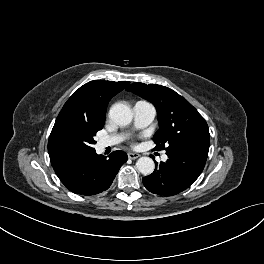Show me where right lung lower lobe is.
Wrapping results in <instances>:
<instances>
[{
	"instance_id": "right-lung-lower-lobe-1",
	"label": "right lung lower lobe",
	"mask_w": 264,
	"mask_h": 264,
	"mask_svg": "<svg viewBox=\"0 0 264 264\" xmlns=\"http://www.w3.org/2000/svg\"><path fill=\"white\" fill-rule=\"evenodd\" d=\"M127 160L124 151L113 152L108 158L94 151L52 163V166L68 190L75 194L95 195L110 187Z\"/></svg>"
}]
</instances>
